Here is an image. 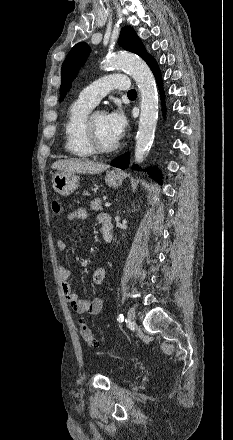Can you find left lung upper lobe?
<instances>
[{
  "label": "left lung upper lobe",
  "instance_id": "left-lung-upper-lobe-1",
  "mask_svg": "<svg viewBox=\"0 0 233 440\" xmlns=\"http://www.w3.org/2000/svg\"><path fill=\"white\" fill-rule=\"evenodd\" d=\"M119 45L127 51L133 52L145 61H147L151 55L147 54L145 47L140 41L139 37L129 26L122 28L119 36ZM90 53V47L85 42L76 44L68 53L63 65H62V83L60 87V101H62L71 87V83L76 77L79 68L86 61L87 56Z\"/></svg>",
  "mask_w": 233,
  "mask_h": 440
}]
</instances>
